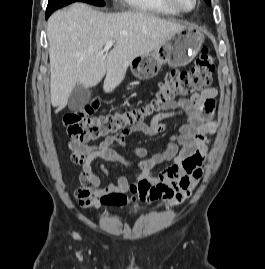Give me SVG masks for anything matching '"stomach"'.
<instances>
[{"label": "stomach", "instance_id": "stomach-1", "mask_svg": "<svg viewBox=\"0 0 265 269\" xmlns=\"http://www.w3.org/2000/svg\"><path fill=\"white\" fill-rule=\"evenodd\" d=\"M203 41L204 35L197 28L185 27L167 37L153 52L134 58L130 70L136 78L151 79L164 64L186 66L196 57Z\"/></svg>", "mask_w": 265, "mask_h": 269}]
</instances>
